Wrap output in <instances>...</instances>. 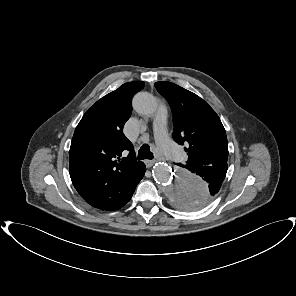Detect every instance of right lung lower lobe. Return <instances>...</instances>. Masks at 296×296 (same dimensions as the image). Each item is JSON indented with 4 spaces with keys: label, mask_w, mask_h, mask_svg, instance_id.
Returning <instances> with one entry per match:
<instances>
[{
    "label": "right lung lower lobe",
    "mask_w": 296,
    "mask_h": 296,
    "mask_svg": "<svg viewBox=\"0 0 296 296\" xmlns=\"http://www.w3.org/2000/svg\"><path fill=\"white\" fill-rule=\"evenodd\" d=\"M145 171H146L145 164L142 162V164L137 168V170L134 174V178H133L134 179V188L140 182V180L143 178Z\"/></svg>",
    "instance_id": "obj_1"
}]
</instances>
